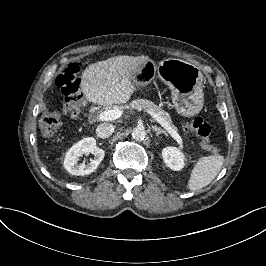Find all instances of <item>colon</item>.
<instances>
[{
  "instance_id": "1",
  "label": "colon",
  "mask_w": 266,
  "mask_h": 266,
  "mask_svg": "<svg viewBox=\"0 0 266 266\" xmlns=\"http://www.w3.org/2000/svg\"><path fill=\"white\" fill-rule=\"evenodd\" d=\"M82 67L80 61H71L59 74L56 79L57 86L65 96L61 109L67 107L68 103L73 101L78 103L81 100L79 88L81 79L79 71ZM57 105L51 106L40 119V130L44 137H51L59 126ZM187 130L195 131L201 141L202 146L209 151H215L216 148L210 143L211 126L199 114H195L185 125Z\"/></svg>"
}]
</instances>
